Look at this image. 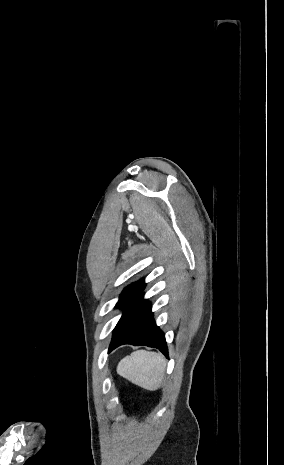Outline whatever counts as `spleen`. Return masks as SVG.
I'll list each match as a JSON object with an SVG mask.
<instances>
[{"instance_id":"3e777b00","label":"spleen","mask_w":284,"mask_h":465,"mask_svg":"<svg viewBox=\"0 0 284 465\" xmlns=\"http://www.w3.org/2000/svg\"><path fill=\"white\" fill-rule=\"evenodd\" d=\"M165 369L166 361L161 353L134 351L118 363L116 371L142 389L157 391L163 383Z\"/></svg>"}]
</instances>
